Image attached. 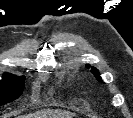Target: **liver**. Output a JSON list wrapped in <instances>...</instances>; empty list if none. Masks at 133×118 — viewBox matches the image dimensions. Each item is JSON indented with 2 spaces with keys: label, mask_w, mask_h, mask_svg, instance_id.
Here are the masks:
<instances>
[{
  "label": "liver",
  "mask_w": 133,
  "mask_h": 118,
  "mask_svg": "<svg viewBox=\"0 0 133 118\" xmlns=\"http://www.w3.org/2000/svg\"><path fill=\"white\" fill-rule=\"evenodd\" d=\"M74 114L69 113V112H63L61 114H54L50 112L49 110H42V111H37L33 114H29L24 116L23 118H48V116L56 117L60 116L61 118H71Z\"/></svg>",
  "instance_id": "obj_1"
}]
</instances>
